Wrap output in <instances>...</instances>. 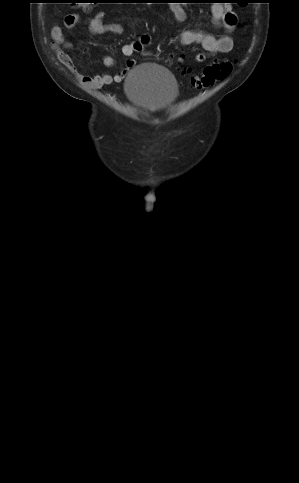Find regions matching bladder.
Here are the masks:
<instances>
[{
    "label": "bladder",
    "mask_w": 299,
    "mask_h": 483,
    "mask_svg": "<svg viewBox=\"0 0 299 483\" xmlns=\"http://www.w3.org/2000/svg\"><path fill=\"white\" fill-rule=\"evenodd\" d=\"M124 88L128 100L146 110L169 106L179 93L172 73L153 63L133 68L125 79Z\"/></svg>",
    "instance_id": "31cf9c89"
}]
</instances>
